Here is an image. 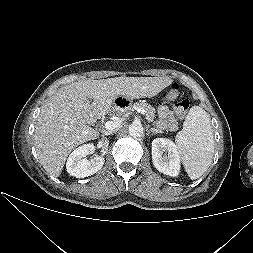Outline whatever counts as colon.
I'll return each mask as SVG.
<instances>
[{
	"label": "colon",
	"instance_id": "colon-1",
	"mask_svg": "<svg viewBox=\"0 0 253 253\" xmlns=\"http://www.w3.org/2000/svg\"><path fill=\"white\" fill-rule=\"evenodd\" d=\"M177 95H178V85L174 84L171 87V89L168 92H166L165 97L168 99H173ZM189 106H190V102L187 99H183L176 104L175 110L179 118L182 119L186 116Z\"/></svg>",
	"mask_w": 253,
	"mask_h": 253
}]
</instances>
